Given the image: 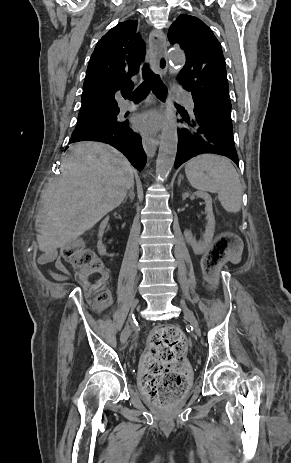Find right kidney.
<instances>
[{
	"instance_id": "right-kidney-1",
	"label": "right kidney",
	"mask_w": 291,
	"mask_h": 463,
	"mask_svg": "<svg viewBox=\"0 0 291 463\" xmlns=\"http://www.w3.org/2000/svg\"><path fill=\"white\" fill-rule=\"evenodd\" d=\"M108 222H109V217H106L100 224L99 226V231H98V237H99V241H98V244H97V249H98V252L100 254H105L106 253V249H105V246L102 244V236L104 234V230L106 228V226L108 225Z\"/></svg>"
}]
</instances>
